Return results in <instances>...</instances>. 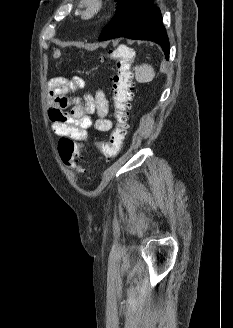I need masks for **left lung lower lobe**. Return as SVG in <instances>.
<instances>
[{"label": "left lung lower lobe", "mask_w": 233, "mask_h": 328, "mask_svg": "<svg viewBox=\"0 0 233 328\" xmlns=\"http://www.w3.org/2000/svg\"><path fill=\"white\" fill-rule=\"evenodd\" d=\"M118 37L155 41L161 45L166 59L169 58V41L162 16L152 0H127L104 28L99 40Z\"/></svg>", "instance_id": "0a47b994"}]
</instances>
